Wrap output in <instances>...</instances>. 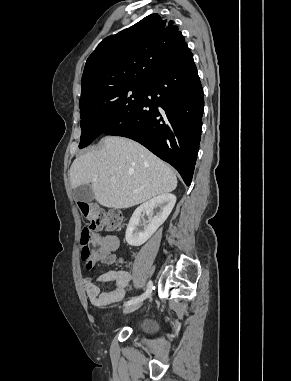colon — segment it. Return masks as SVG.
Segmentation results:
<instances>
[{
    "label": "colon",
    "instance_id": "5ec220e1",
    "mask_svg": "<svg viewBox=\"0 0 291 381\" xmlns=\"http://www.w3.org/2000/svg\"><path fill=\"white\" fill-rule=\"evenodd\" d=\"M78 207L84 219L89 223L88 227H85L80 235V256L86 268L91 269L93 260L90 241L93 234L102 229H116L122 221V216L119 211L112 210L107 212L87 201H79ZM101 258L105 262L114 261V258L109 254H104Z\"/></svg>",
    "mask_w": 291,
    "mask_h": 381
}]
</instances>
